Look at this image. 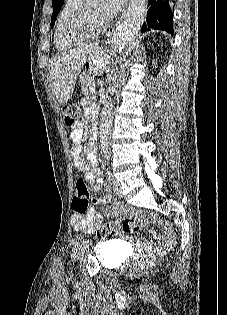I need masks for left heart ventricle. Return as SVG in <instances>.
I'll use <instances>...</instances> for the list:
<instances>
[{
	"label": "left heart ventricle",
	"mask_w": 227,
	"mask_h": 315,
	"mask_svg": "<svg viewBox=\"0 0 227 315\" xmlns=\"http://www.w3.org/2000/svg\"><path fill=\"white\" fill-rule=\"evenodd\" d=\"M85 21L90 27H97L105 23L100 13V0H89Z\"/></svg>",
	"instance_id": "left-heart-ventricle-1"
}]
</instances>
